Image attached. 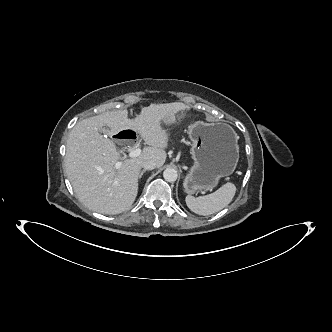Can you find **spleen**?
<instances>
[{"label":"spleen","instance_id":"spleen-1","mask_svg":"<svg viewBox=\"0 0 332 332\" xmlns=\"http://www.w3.org/2000/svg\"><path fill=\"white\" fill-rule=\"evenodd\" d=\"M236 193V186L233 183L222 185L215 192L200 197L188 195L186 204L188 208L199 215H211L219 212L226 207L233 199Z\"/></svg>","mask_w":332,"mask_h":332}]
</instances>
